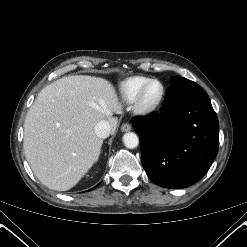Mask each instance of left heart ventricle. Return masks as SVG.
Wrapping results in <instances>:
<instances>
[{"mask_svg":"<svg viewBox=\"0 0 247 247\" xmlns=\"http://www.w3.org/2000/svg\"><path fill=\"white\" fill-rule=\"evenodd\" d=\"M160 92H161L160 85L157 83L152 84L146 91V94L144 96V102L146 104L153 103L159 97Z\"/></svg>","mask_w":247,"mask_h":247,"instance_id":"1","label":"left heart ventricle"}]
</instances>
